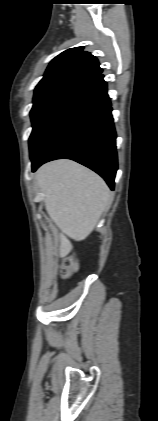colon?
<instances>
[{
    "mask_svg": "<svg viewBox=\"0 0 158 421\" xmlns=\"http://www.w3.org/2000/svg\"><path fill=\"white\" fill-rule=\"evenodd\" d=\"M77 269V261L73 257L64 260L62 266L63 278H69Z\"/></svg>",
    "mask_w": 158,
    "mask_h": 421,
    "instance_id": "colon-1",
    "label": "colon"
}]
</instances>
